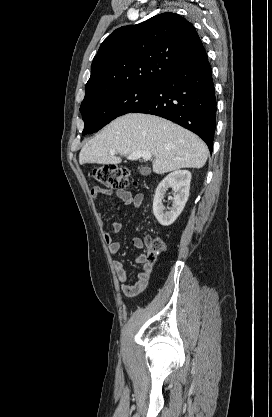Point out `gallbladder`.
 <instances>
[{
    "label": "gallbladder",
    "instance_id": "bac80fb5",
    "mask_svg": "<svg viewBox=\"0 0 272 417\" xmlns=\"http://www.w3.org/2000/svg\"><path fill=\"white\" fill-rule=\"evenodd\" d=\"M139 171L142 175H148L150 173V169L148 167L141 166Z\"/></svg>",
    "mask_w": 272,
    "mask_h": 417
}]
</instances>
